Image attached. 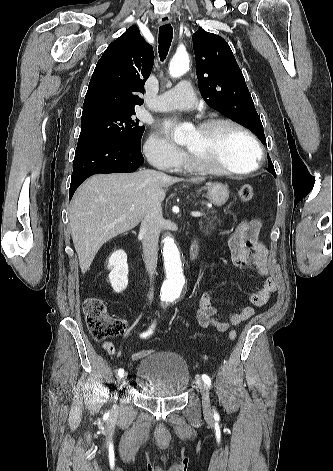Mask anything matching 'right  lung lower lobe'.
Returning <instances> with one entry per match:
<instances>
[{
  "label": "right lung lower lobe",
  "mask_w": 333,
  "mask_h": 471,
  "mask_svg": "<svg viewBox=\"0 0 333 471\" xmlns=\"http://www.w3.org/2000/svg\"><path fill=\"white\" fill-rule=\"evenodd\" d=\"M143 163L141 150L126 144L107 139L78 141L69 198L85 179L94 174L130 173Z\"/></svg>",
  "instance_id": "98d812e1"
}]
</instances>
